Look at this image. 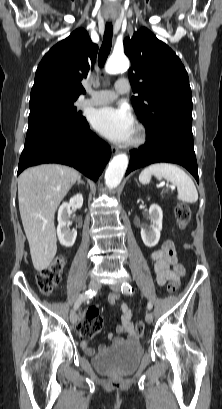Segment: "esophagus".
Returning a JSON list of instances; mask_svg holds the SVG:
<instances>
[{"mask_svg":"<svg viewBox=\"0 0 222 409\" xmlns=\"http://www.w3.org/2000/svg\"><path fill=\"white\" fill-rule=\"evenodd\" d=\"M112 153H113V154L118 153V149H117L116 147H112Z\"/></svg>","mask_w":222,"mask_h":409,"instance_id":"34e87169","label":"esophagus"}]
</instances>
